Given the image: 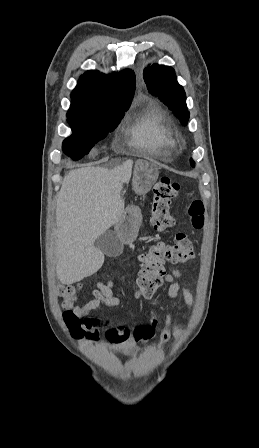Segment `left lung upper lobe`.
<instances>
[{"mask_svg":"<svg viewBox=\"0 0 259 448\" xmlns=\"http://www.w3.org/2000/svg\"><path fill=\"white\" fill-rule=\"evenodd\" d=\"M143 77L149 92L162 100L183 125H187L190 113L186 105V94L177 81L175 70L155 64L144 69ZM191 165H195L192 159Z\"/></svg>","mask_w":259,"mask_h":448,"instance_id":"obj_1","label":"left lung upper lobe"}]
</instances>
